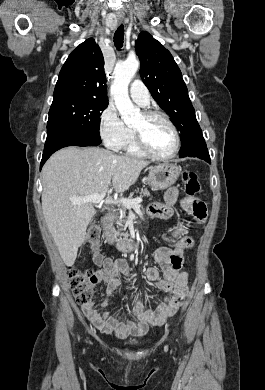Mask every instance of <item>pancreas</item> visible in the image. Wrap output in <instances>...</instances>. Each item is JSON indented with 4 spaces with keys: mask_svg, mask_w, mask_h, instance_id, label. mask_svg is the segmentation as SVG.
Listing matches in <instances>:
<instances>
[{
    "mask_svg": "<svg viewBox=\"0 0 265 390\" xmlns=\"http://www.w3.org/2000/svg\"><path fill=\"white\" fill-rule=\"evenodd\" d=\"M141 195L143 196H150V193L148 192V190H141L139 192ZM130 199H133L132 198V195L130 196ZM126 210L127 208L126 207H121V208H118V209H115L113 211V220L112 222L109 224V230L111 231L112 233V236L117 240V242H120L121 240H118L117 239V236H123L124 237V241H129V234L127 232H123L122 229H119V230H115V228L113 227V224H121V223H125L126 221Z\"/></svg>",
    "mask_w": 265,
    "mask_h": 390,
    "instance_id": "1",
    "label": "pancreas"
}]
</instances>
